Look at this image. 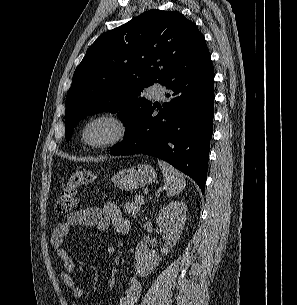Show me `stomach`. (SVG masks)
Listing matches in <instances>:
<instances>
[{"instance_id":"1","label":"stomach","mask_w":297,"mask_h":305,"mask_svg":"<svg viewBox=\"0 0 297 305\" xmlns=\"http://www.w3.org/2000/svg\"><path fill=\"white\" fill-rule=\"evenodd\" d=\"M156 180V171L152 166L146 164L120 170L111 178L113 185L124 191L138 189Z\"/></svg>"}]
</instances>
